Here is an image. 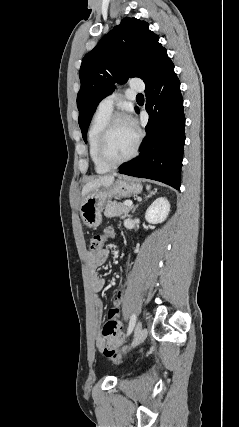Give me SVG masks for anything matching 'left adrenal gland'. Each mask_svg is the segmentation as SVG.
Returning a JSON list of instances; mask_svg holds the SVG:
<instances>
[{
    "label": "left adrenal gland",
    "instance_id": "1",
    "mask_svg": "<svg viewBox=\"0 0 239 427\" xmlns=\"http://www.w3.org/2000/svg\"><path fill=\"white\" fill-rule=\"evenodd\" d=\"M156 192V191H155ZM155 192H151L148 196L145 197V200L148 199L149 197H151L152 195L155 194ZM138 205L134 206L132 209V213H134L135 209L137 208Z\"/></svg>",
    "mask_w": 239,
    "mask_h": 427
}]
</instances>
